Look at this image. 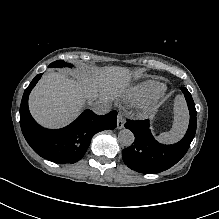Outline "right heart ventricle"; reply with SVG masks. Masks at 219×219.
Wrapping results in <instances>:
<instances>
[{
	"label": "right heart ventricle",
	"mask_w": 219,
	"mask_h": 219,
	"mask_svg": "<svg viewBox=\"0 0 219 219\" xmlns=\"http://www.w3.org/2000/svg\"><path fill=\"white\" fill-rule=\"evenodd\" d=\"M159 89V83L155 81H147L131 89L129 92V97L135 101H139L152 96Z\"/></svg>",
	"instance_id": "obj_1"
}]
</instances>
